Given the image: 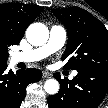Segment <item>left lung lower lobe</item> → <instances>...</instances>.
Listing matches in <instances>:
<instances>
[{
    "mask_svg": "<svg viewBox=\"0 0 108 108\" xmlns=\"http://www.w3.org/2000/svg\"><path fill=\"white\" fill-rule=\"evenodd\" d=\"M60 90L48 97L49 108H97L108 91V69L79 71L68 81L60 79Z\"/></svg>",
    "mask_w": 108,
    "mask_h": 108,
    "instance_id": "0a47b994",
    "label": "left lung lower lobe"
}]
</instances>
